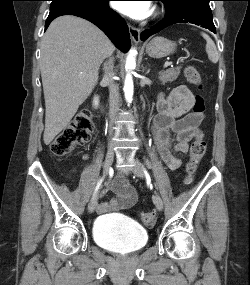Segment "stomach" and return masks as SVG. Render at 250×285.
I'll use <instances>...</instances> for the list:
<instances>
[{"label": "stomach", "mask_w": 250, "mask_h": 285, "mask_svg": "<svg viewBox=\"0 0 250 285\" xmlns=\"http://www.w3.org/2000/svg\"><path fill=\"white\" fill-rule=\"evenodd\" d=\"M176 44L164 37H155L146 45V53L153 58H162L175 51Z\"/></svg>", "instance_id": "0dacf381"}]
</instances>
